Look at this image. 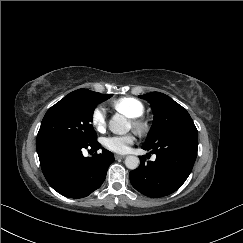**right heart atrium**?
I'll return each mask as SVG.
<instances>
[{"instance_id":"right-heart-atrium-1","label":"right heart atrium","mask_w":243,"mask_h":243,"mask_svg":"<svg viewBox=\"0 0 243 243\" xmlns=\"http://www.w3.org/2000/svg\"><path fill=\"white\" fill-rule=\"evenodd\" d=\"M91 123L97 131H104L107 126L105 110L101 106L93 109L91 114Z\"/></svg>"}]
</instances>
